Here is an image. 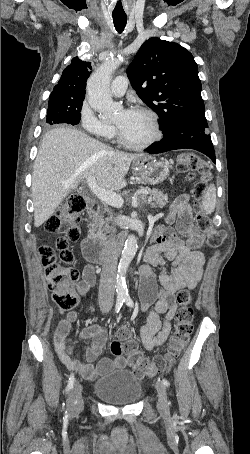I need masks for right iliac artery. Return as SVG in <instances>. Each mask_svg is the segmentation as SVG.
Wrapping results in <instances>:
<instances>
[{"mask_svg":"<svg viewBox=\"0 0 250 454\" xmlns=\"http://www.w3.org/2000/svg\"><path fill=\"white\" fill-rule=\"evenodd\" d=\"M123 302H124V299H122V298L116 300L115 312L118 313L120 311V309L123 305ZM74 381H75L74 374L71 373L69 380H68L67 387H66V394H68L69 391L73 388Z\"/></svg>","mask_w":250,"mask_h":454,"instance_id":"obj_1","label":"right iliac artery"}]
</instances>
